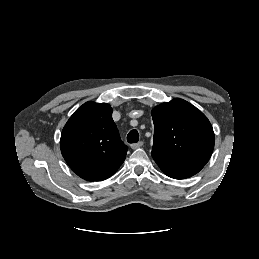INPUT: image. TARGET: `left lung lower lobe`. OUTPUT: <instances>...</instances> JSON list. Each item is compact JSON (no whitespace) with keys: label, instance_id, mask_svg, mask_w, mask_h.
<instances>
[{"label":"left lung lower lobe","instance_id":"0a47b994","mask_svg":"<svg viewBox=\"0 0 259 259\" xmlns=\"http://www.w3.org/2000/svg\"><path fill=\"white\" fill-rule=\"evenodd\" d=\"M160 169L174 179H185L198 173L204 165L196 163H179L153 157Z\"/></svg>","mask_w":259,"mask_h":259}]
</instances>
